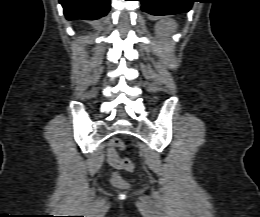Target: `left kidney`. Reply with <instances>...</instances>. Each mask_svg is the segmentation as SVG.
I'll use <instances>...</instances> for the list:
<instances>
[{"instance_id": "5707ae66", "label": "left kidney", "mask_w": 260, "mask_h": 217, "mask_svg": "<svg viewBox=\"0 0 260 217\" xmlns=\"http://www.w3.org/2000/svg\"><path fill=\"white\" fill-rule=\"evenodd\" d=\"M161 28L159 25H156V31L160 32ZM165 30H171V28L167 27Z\"/></svg>"}]
</instances>
